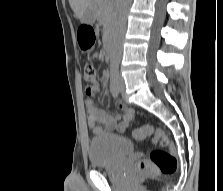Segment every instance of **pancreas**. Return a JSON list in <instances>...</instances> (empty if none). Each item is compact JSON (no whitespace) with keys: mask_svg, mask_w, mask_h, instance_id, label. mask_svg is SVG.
I'll return each mask as SVG.
<instances>
[{"mask_svg":"<svg viewBox=\"0 0 223 191\" xmlns=\"http://www.w3.org/2000/svg\"><path fill=\"white\" fill-rule=\"evenodd\" d=\"M92 9L97 19L103 24L106 30L112 18L113 3L111 0H93Z\"/></svg>","mask_w":223,"mask_h":191,"instance_id":"obj_1","label":"pancreas"}]
</instances>
